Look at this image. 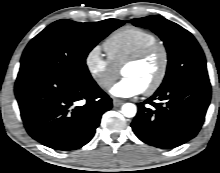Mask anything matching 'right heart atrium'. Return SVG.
I'll return each instance as SVG.
<instances>
[{"instance_id": "d8ad5b80", "label": "right heart atrium", "mask_w": 220, "mask_h": 173, "mask_svg": "<svg viewBox=\"0 0 220 173\" xmlns=\"http://www.w3.org/2000/svg\"><path fill=\"white\" fill-rule=\"evenodd\" d=\"M84 65L91 79L107 90L118 76L119 69L106 58L99 46L92 47L85 55Z\"/></svg>"}]
</instances>
